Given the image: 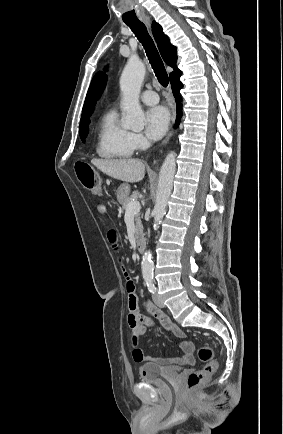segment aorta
<instances>
[{
    "mask_svg": "<svg viewBox=\"0 0 283 434\" xmlns=\"http://www.w3.org/2000/svg\"><path fill=\"white\" fill-rule=\"evenodd\" d=\"M145 65L137 58H130L120 77V89L122 92L121 109L124 112L122 125L124 128L141 131L145 125L144 112L139 104V94L145 76ZM175 153L170 152L161 167L157 187L156 202L153 209L154 230L160 225L165 214V208L171 195L173 179L176 170ZM142 273L144 277H151L154 264L152 253L147 250L142 257Z\"/></svg>",
    "mask_w": 283,
    "mask_h": 434,
    "instance_id": "aorta-1",
    "label": "aorta"
}]
</instances>
